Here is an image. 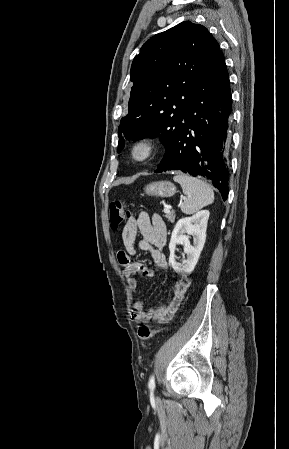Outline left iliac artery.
I'll return each mask as SVG.
<instances>
[{
    "label": "left iliac artery",
    "mask_w": 289,
    "mask_h": 449,
    "mask_svg": "<svg viewBox=\"0 0 289 449\" xmlns=\"http://www.w3.org/2000/svg\"><path fill=\"white\" fill-rule=\"evenodd\" d=\"M148 388L153 391L155 388V378L154 375H152L149 379Z\"/></svg>",
    "instance_id": "left-iliac-artery-1"
}]
</instances>
